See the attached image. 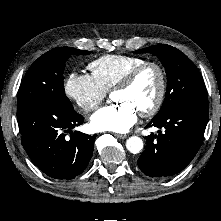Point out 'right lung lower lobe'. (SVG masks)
Returning <instances> with one entry per match:
<instances>
[{
    "instance_id": "1",
    "label": "right lung lower lobe",
    "mask_w": 221,
    "mask_h": 221,
    "mask_svg": "<svg viewBox=\"0 0 221 221\" xmlns=\"http://www.w3.org/2000/svg\"><path fill=\"white\" fill-rule=\"evenodd\" d=\"M17 120L24 149L45 174L69 180L85 170L96 135L70 130L84 121L75 110L32 101L17 107Z\"/></svg>"
}]
</instances>
